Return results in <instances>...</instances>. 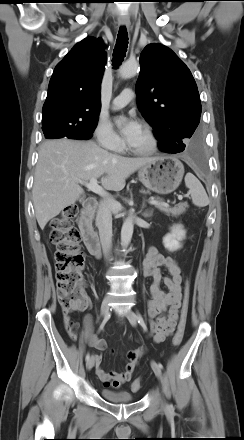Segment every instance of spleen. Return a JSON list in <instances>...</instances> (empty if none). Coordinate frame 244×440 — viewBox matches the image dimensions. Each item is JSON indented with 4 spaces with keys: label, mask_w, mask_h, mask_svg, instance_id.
Listing matches in <instances>:
<instances>
[{
    "label": "spleen",
    "mask_w": 244,
    "mask_h": 440,
    "mask_svg": "<svg viewBox=\"0 0 244 440\" xmlns=\"http://www.w3.org/2000/svg\"><path fill=\"white\" fill-rule=\"evenodd\" d=\"M185 185L191 194L192 203L198 207H205L209 204L208 195L200 181L192 174L185 176Z\"/></svg>",
    "instance_id": "3e777b00"
}]
</instances>
